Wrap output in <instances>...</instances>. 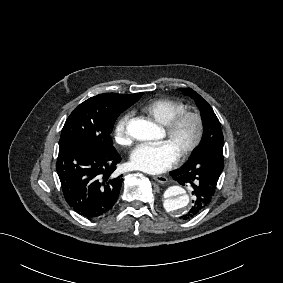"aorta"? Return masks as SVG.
I'll return each mask as SVG.
<instances>
[{"mask_svg": "<svg viewBox=\"0 0 283 283\" xmlns=\"http://www.w3.org/2000/svg\"><path fill=\"white\" fill-rule=\"evenodd\" d=\"M128 134L140 141L159 138L160 128L151 121L144 119H133L127 125ZM163 207L174 216H181L191 208L190 194L188 190L180 185L170 186L163 194Z\"/></svg>", "mask_w": 283, "mask_h": 283, "instance_id": "762f6f07", "label": "aorta"}]
</instances>
